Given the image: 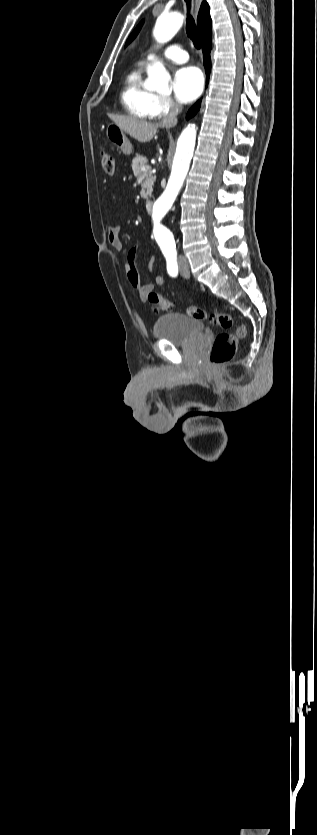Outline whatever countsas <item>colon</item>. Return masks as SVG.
I'll list each match as a JSON object with an SVG mask.
<instances>
[{
    "instance_id": "obj_1",
    "label": "colon",
    "mask_w": 317,
    "mask_h": 835,
    "mask_svg": "<svg viewBox=\"0 0 317 835\" xmlns=\"http://www.w3.org/2000/svg\"><path fill=\"white\" fill-rule=\"evenodd\" d=\"M101 165L106 174L113 175L115 173V159L110 153L105 151L101 153ZM146 295L149 302H151L158 311H167L172 306V303L168 299L155 291L151 290ZM187 314L194 319L207 321L210 324L220 326L224 329L236 326V332L234 334L219 333L215 336L209 355V364L213 367L220 366L231 359L235 354L237 343L247 335L245 325L237 323L236 320L228 314L206 312L194 305L188 307Z\"/></svg>"
}]
</instances>
